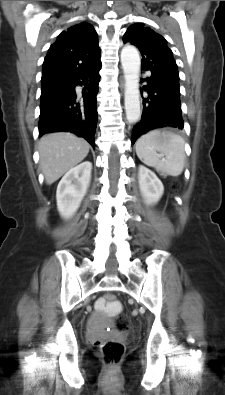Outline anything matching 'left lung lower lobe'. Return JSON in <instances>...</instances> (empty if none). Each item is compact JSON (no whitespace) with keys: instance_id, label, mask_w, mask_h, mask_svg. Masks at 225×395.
Wrapping results in <instances>:
<instances>
[{"instance_id":"0a47b994","label":"left lung lower lobe","mask_w":225,"mask_h":395,"mask_svg":"<svg viewBox=\"0 0 225 395\" xmlns=\"http://www.w3.org/2000/svg\"><path fill=\"white\" fill-rule=\"evenodd\" d=\"M145 80L147 85L143 86L141 93L145 90L148 96L143 98L141 121L132 131L133 144L141 135L156 128H183L179 78L162 72H151Z\"/></svg>"}]
</instances>
